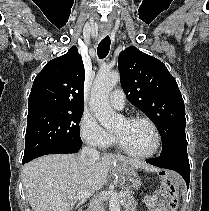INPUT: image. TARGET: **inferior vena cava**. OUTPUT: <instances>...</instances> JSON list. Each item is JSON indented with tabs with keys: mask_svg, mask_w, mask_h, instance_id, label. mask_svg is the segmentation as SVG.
Returning a JSON list of instances; mask_svg holds the SVG:
<instances>
[{
	"mask_svg": "<svg viewBox=\"0 0 209 211\" xmlns=\"http://www.w3.org/2000/svg\"><path fill=\"white\" fill-rule=\"evenodd\" d=\"M80 158L85 165L91 166L99 159V153L95 148L91 146H85L82 148ZM91 208V211H103L101 202L98 199H94L91 202Z\"/></svg>",
	"mask_w": 209,
	"mask_h": 211,
	"instance_id": "602c4592",
	"label": "inferior vena cava"
}]
</instances>
